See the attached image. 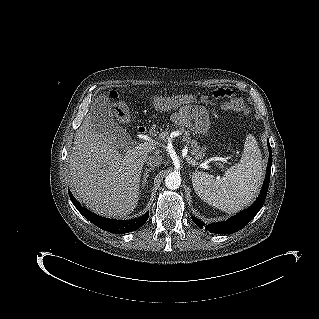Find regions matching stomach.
<instances>
[{
  "label": "stomach",
  "instance_id": "0dacf381",
  "mask_svg": "<svg viewBox=\"0 0 319 319\" xmlns=\"http://www.w3.org/2000/svg\"><path fill=\"white\" fill-rule=\"evenodd\" d=\"M182 124L196 134H206L210 128L209 115L206 110L192 108L184 113Z\"/></svg>",
  "mask_w": 319,
  "mask_h": 319
}]
</instances>
